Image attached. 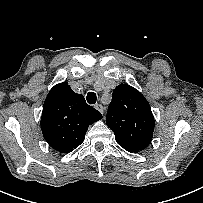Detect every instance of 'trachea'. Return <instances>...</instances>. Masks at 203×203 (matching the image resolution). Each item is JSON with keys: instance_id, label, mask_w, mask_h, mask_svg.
Here are the masks:
<instances>
[{"instance_id": "1", "label": "trachea", "mask_w": 203, "mask_h": 203, "mask_svg": "<svg viewBox=\"0 0 203 203\" xmlns=\"http://www.w3.org/2000/svg\"><path fill=\"white\" fill-rule=\"evenodd\" d=\"M86 99H87V102H88L89 104H95L96 101H97V97H96V94H95L94 92H89V93L87 94Z\"/></svg>"}]
</instances>
